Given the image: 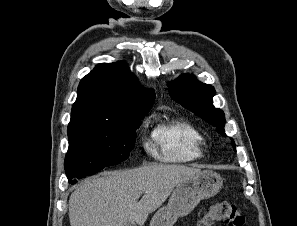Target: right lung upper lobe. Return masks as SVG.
Here are the masks:
<instances>
[{"label": "right lung upper lobe", "instance_id": "1", "mask_svg": "<svg viewBox=\"0 0 297 226\" xmlns=\"http://www.w3.org/2000/svg\"><path fill=\"white\" fill-rule=\"evenodd\" d=\"M154 98L124 62L101 63L82 78L70 122L116 124L125 109L151 107Z\"/></svg>", "mask_w": 297, "mask_h": 226}]
</instances>
